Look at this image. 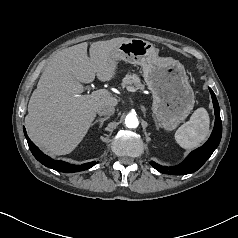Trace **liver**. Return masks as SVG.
Masks as SVG:
<instances>
[{"label":"liver","mask_w":238,"mask_h":238,"mask_svg":"<svg viewBox=\"0 0 238 238\" xmlns=\"http://www.w3.org/2000/svg\"><path fill=\"white\" fill-rule=\"evenodd\" d=\"M128 38L118 37L86 42L60 50L45 67L29 103L25 124L32 141L52 155L71 153L85 137L97 108L116 106L113 96L94 98L80 95L81 83L109 81L115 75L117 63L113 51Z\"/></svg>","instance_id":"1"}]
</instances>
